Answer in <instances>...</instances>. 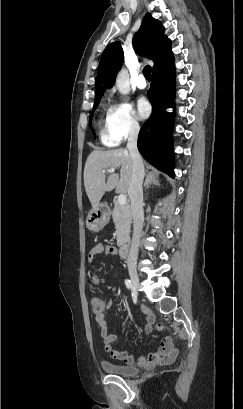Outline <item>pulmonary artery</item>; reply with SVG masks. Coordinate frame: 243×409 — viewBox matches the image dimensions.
Instances as JSON below:
<instances>
[{"label":"pulmonary artery","instance_id":"pulmonary-artery-1","mask_svg":"<svg viewBox=\"0 0 243 409\" xmlns=\"http://www.w3.org/2000/svg\"><path fill=\"white\" fill-rule=\"evenodd\" d=\"M136 86L139 89H145L147 87V83H146V80H145L143 74H140L138 76V79L136 81Z\"/></svg>","mask_w":243,"mask_h":409}]
</instances>
